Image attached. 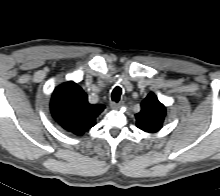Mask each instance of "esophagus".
<instances>
[{"label":"esophagus","mask_w":220,"mask_h":196,"mask_svg":"<svg viewBox=\"0 0 220 196\" xmlns=\"http://www.w3.org/2000/svg\"><path fill=\"white\" fill-rule=\"evenodd\" d=\"M110 107L114 110H119L122 107V103L111 102Z\"/></svg>","instance_id":"obj_1"}]
</instances>
